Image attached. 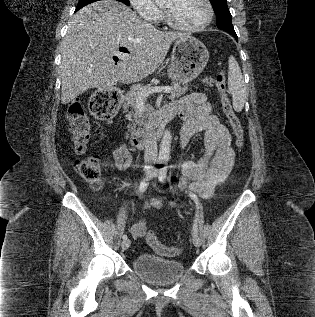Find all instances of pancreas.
Here are the masks:
<instances>
[{"mask_svg": "<svg viewBox=\"0 0 315 317\" xmlns=\"http://www.w3.org/2000/svg\"><path fill=\"white\" fill-rule=\"evenodd\" d=\"M203 83H205L206 85L212 86L213 85V79L211 77H206L202 80ZM153 86L151 85H146V86H133L132 89L126 94L125 96V101H126V105L125 108L128 107H132L133 108V112H129L127 114V118L129 119V121H135L136 123H139L141 120H139V118H141V114L138 111V97L140 95L141 92H145L147 91L149 88H152ZM190 89V85L188 84H183V86L180 85V83H174V85L172 86V91L170 92V99H174L176 97H180L182 95H184L188 90ZM146 101V97L143 99V102ZM146 108V112H149V108L148 105H145ZM133 125H129V127L134 126Z\"/></svg>", "mask_w": 315, "mask_h": 317, "instance_id": "obj_1", "label": "pancreas"}]
</instances>
